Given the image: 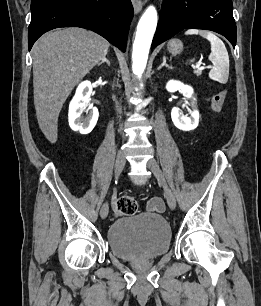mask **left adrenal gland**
Listing matches in <instances>:
<instances>
[{"mask_svg": "<svg viewBox=\"0 0 261 306\" xmlns=\"http://www.w3.org/2000/svg\"><path fill=\"white\" fill-rule=\"evenodd\" d=\"M162 67H167L168 69H172V66L168 65L166 63V57H163V62L162 64L158 67V70H160Z\"/></svg>", "mask_w": 261, "mask_h": 306, "instance_id": "a2214340", "label": "left adrenal gland"}]
</instances>
